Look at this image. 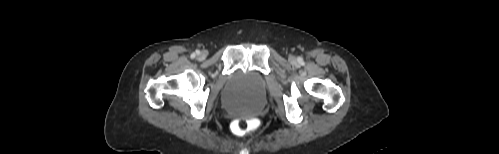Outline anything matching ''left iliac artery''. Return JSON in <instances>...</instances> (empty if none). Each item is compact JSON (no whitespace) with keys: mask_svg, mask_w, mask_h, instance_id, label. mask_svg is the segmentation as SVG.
<instances>
[{"mask_svg":"<svg viewBox=\"0 0 499 154\" xmlns=\"http://www.w3.org/2000/svg\"><path fill=\"white\" fill-rule=\"evenodd\" d=\"M298 62H299V63H301V62H302V59H301L300 57L298 58Z\"/></svg>","mask_w":499,"mask_h":154,"instance_id":"left-iliac-artery-1","label":"left iliac artery"}]
</instances>
